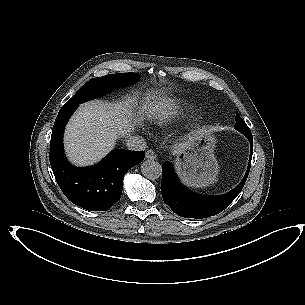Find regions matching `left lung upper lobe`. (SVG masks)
<instances>
[{
  "label": "left lung upper lobe",
  "instance_id": "5c2ea615",
  "mask_svg": "<svg viewBox=\"0 0 305 305\" xmlns=\"http://www.w3.org/2000/svg\"><path fill=\"white\" fill-rule=\"evenodd\" d=\"M236 125H235V129H237L238 131H240L241 133H243L245 136H247L248 138H250V140L252 139V134L250 129L248 128V126L246 125V123L241 119V117L237 114L236 115ZM246 177H247V173L245 178L242 180V182L232 191H230L229 193L222 195V196H215V197H210V201L212 204H216V205H222V204H227L229 203V201L231 200L232 196L234 195V193L240 189L243 184L246 181Z\"/></svg>",
  "mask_w": 305,
  "mask_h": 305
}]
</instances>
